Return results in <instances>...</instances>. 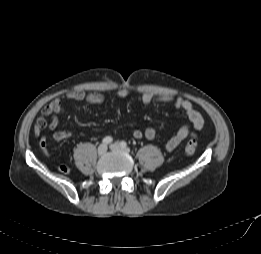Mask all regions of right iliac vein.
I'll return each instance as SVG.
<instances>
[{"label":"right iliac vein","instance_id":"63e3f726","mask_svg":"<svg viewBox=\"0 0 261 254\" xmlns=\"http://www.w3.org/2000/svg\"><path fill=\"white\" fill-rule=\"evenodd\" d=\"M97 152H98L99 155H104L107 152V146L105 144H101L98 147Z\"/></svg>","mask_w":261,"mask_h":254}]
</instances>
